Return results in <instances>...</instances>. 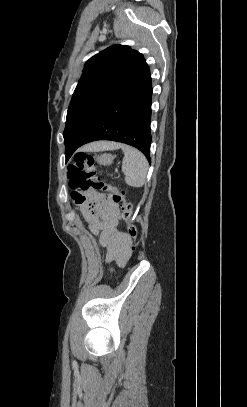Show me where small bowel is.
Here are the masks:
<instances>
[{
  "label": "small bowel",
  "mask_w": 247,
  "mask_h": 407,
  "mask_svg": "<svg viewBox=\"0 0 247 407\" xmlns=\"http://www.w3.org/2000/svg\"><path fill=\"white\" fill-rule=\"evenodd\" d=\"M80 210L90 231L106 250V262L124 265L131 255L132 239L117 229L121 220L118 204L109 196L88 194Z\"/></svg>",
  "instance_id": "c3829d8e"
}]
</instances>
